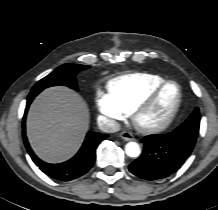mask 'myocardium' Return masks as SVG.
Listing matches in <instances>:
<instances>
[{"label":"myocardium","mask_w":218,"mask_h":210,"mask_svg":"<svg viewBox=\"0 0 218 210\" xmlns=\"http://www.w3.org/2000/svg\"><path fill=\"white\" fill-rule=\"evenodd\" d=\"M174 84L178 88V99L170 114L161 123L151 126H143L139 123V117L148 110L157 100L164 88ZM183 103V90L181 85L174 80H165L155 87L141 102H139L131 112V119L136 130L142 134H156L167 129L176 119Z\"/></svg>","instance_id":"obj_1"}]
</instances>
